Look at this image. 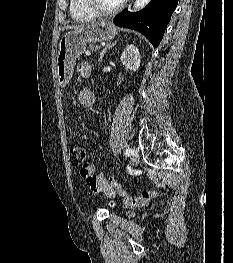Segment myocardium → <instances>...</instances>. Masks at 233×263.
Here are the masks:
<instances>
[{
  "label": "myocardium",
  "instance_id": "obj_1",
  "mask_svg": "<svg viewBox=\"0 0 233 263\" xmlns=\"http://www.w3.org/2000/svg\"><path fill=\"white\" fill-rule=\"evenodd\" d=\"M127 0H121V2L111 10H102L100 9L94 0H84L86 8L95 16V17H110L119 13L125 6Z\"/></svg>",
  "mask_w": 233,
  "mask_h": 263
}]
</instances>
